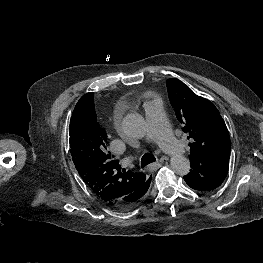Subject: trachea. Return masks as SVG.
Listing matches in <instances>:
<instances>
[{"mask_svg": "<svg viewBox=\"0 0 263 263\" xmlns=\"http://www.w3.org/2000/svg\"><path fill=\"white\" fill-rule=\"evenodd\" d=\"M155 161H156V158L152 154L146 153L142 156L141 168H143V167L147 166L148 164L155 162Z\"/></svg>", "mask_w": 263, "mask_h": 263, "instance_id": "trachea-1", "label": "trachea"}]
</instances>
